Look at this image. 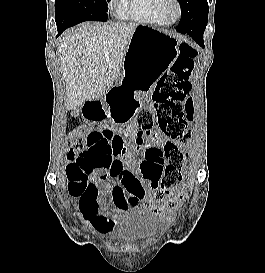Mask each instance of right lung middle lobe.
<instances>
[{
    "instance_id": "right-lung-middle-lobe-1",
    "label": "right lung middle lobe",
    "mask_w": 265,
    "mask_h": 273,
    "mask_svg": "<svg viewBox=\"0 0 265 273\" xmlns=\"http://www.w3.org/2000/svg\"><path fill=\"white\" fill-rule=\"evenodd\" d=\"M110 0H55L57 29L65 30L84 21H107Z\"/></svg>"
}]
</instances>
